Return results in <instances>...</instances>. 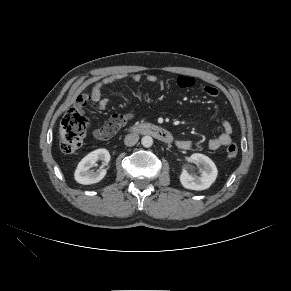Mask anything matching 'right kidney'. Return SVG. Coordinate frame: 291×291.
I'll return each mask as SVG.
<instances>
[{
  "instance_id": "right-kidney-1",
  "label": "right kidney",
  "mask_w": 291,
  "mask_h": 291,
  "mask_svg": "<svg viewBox=\"0 0 291 291\" xmlns=\"http://www.w3.org/2000/svg\"><path fill=\"white\" fill-rule=\"evenodd\" d=\"M102 161L107 165L110 161V154L106 149H97L85 156L78 164L75 171V180L83 185H90L101 181L106 175V170L101 169L96 172L90 168L97 165V161Z\"/></svg>"
}]
</instances>
